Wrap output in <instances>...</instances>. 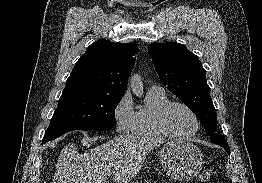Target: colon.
Returning a JSON list of instances; mask_svg holds the SVG:
<instances>
[{"label": "colon", "instance_id": "colon-1", "mask_svg": "<svg viewBox=\"0 0 262 183\" xmlns=\"http://www.w3.org/2000/svg\"><path fill=\"white\" fill-rule=\"evenodd\" d=\"M211 179V172L209 170H203L198 175V180L203 183L209 182Z\"/></svg>", "mask_w": 262, "mask_h": 183}]
</instances>
